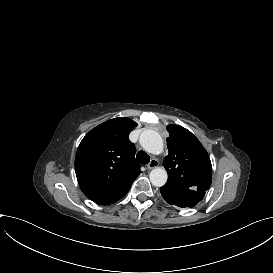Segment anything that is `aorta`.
Instances as JSON below:
<instances>
[{"label":"aorta","mask_w":273,"mask_h":273,"mask_svg":"<svg viewBox=\"0 0 273 273\" xmlns=\"http://www.w3.org/2000/svg\"><path fill=\"white\" fill-rule=\"evenodd\" d=\"M141 146L151 154H160L163 151V140L161 136L154 130H145L140 135ZM152 185L162 187L167 182V171L158 167L153 169L149 174Z\"/></svg>","instance_id":"762f6f07"}]
</instances>
